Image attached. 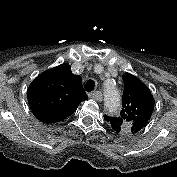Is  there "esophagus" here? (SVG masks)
<instances>
[{
	"instance_id": "obj_1",
	"label": "esophagus",
	"mask_w": 177,
	"mask_h": 177,
	"mask_svg": "<svg viewBox=\"0 0 177 177\" xmlns=\"http://www.w3.org/2000/svg\"><path fill=\"white\" fill-rule=\"evenodd\" d=\"M90 97L96 101H102L103 95L100 91H94L90 94Z\"/></svg>"
}]
</instances>
